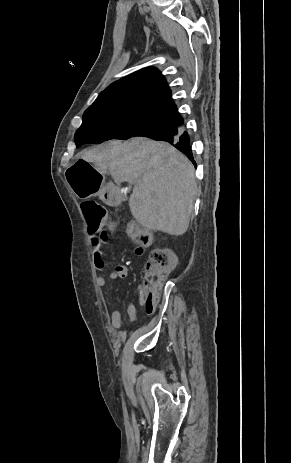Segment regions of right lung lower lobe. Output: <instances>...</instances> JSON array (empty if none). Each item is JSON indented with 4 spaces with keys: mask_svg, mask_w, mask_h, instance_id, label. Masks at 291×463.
Segmentation results:
<instances>
[{
    "mask_svg": "<svg viewBox=\"0 0 291 463\" xmlns=\"http://www.w3.org/2000/svg\"><path fill=\"white\" fill-rule=\"evenodd\" d=\"M166 121L169 123L168 127L146 135L145 137L170 143L179 151L184 153L196 166V162L194 161L193 153L191 150V142L188 132L184 130V127L181 123H178L175 120Z\"/></svg>",
    "mask_w": 291,
    "mask_h": 463,
    "instance_id": "right-lung-lower-lobe-1",
    "label": "right lung lower lobe"
}]
</instances>
